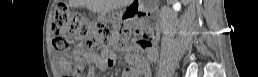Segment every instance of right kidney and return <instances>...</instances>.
Masks as SVG:
<instances>
[{
  "label": "right kidney",
  "instance_id": "right-kidney-1",
  "mask_svg": "<svg viewBox=\"0 0 258 77\" xmlns=\"http://www.w3.org/2000/svg\"><path fill=\"white\" fill-rule=\"evenodd\" d=\"M182 2L187 3L188 0H182ZM176 5L180 7V4L177 3ZM166 12H167V9L166 8H162L161 13L165 14Z\"/></svg>",
  "mask_w": 258,
  "mask_h": 77
}]
</instances>
